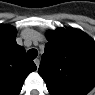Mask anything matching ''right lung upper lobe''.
<instances>
[{"instance_id": "obj_1", "label": "right lung upper lobe", "mask_w": 95, "mask_h": 95, "mask_svg": "<svg viewBox=\"0 0 95 95\" xmlns=\"http://www.w3.org/2000/svg\"><path fill=\"white\" fill-rule=\"evenodd\" d=\"M36 70L34 62L26 57L25 49L16 43V30L0 25V92L18 95L27 75Z\"/></svg>"}]
</instances>
